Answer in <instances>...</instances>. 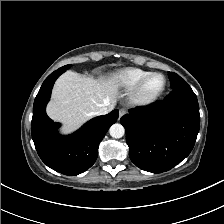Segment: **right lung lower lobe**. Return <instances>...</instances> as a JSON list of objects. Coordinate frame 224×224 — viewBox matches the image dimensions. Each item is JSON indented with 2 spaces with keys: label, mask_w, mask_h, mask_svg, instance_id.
I'll list each match as a JSON object with an SVG mask.
<instances>
[{
  "label": "right lung lower lobe",
  "mask_w": 224,
  "mask_h": 224,
  "mask_svg": "<svg viewBox=\"0 0 224 224\" xmlns=\"http://www.w3.org/2000/svg\"><path fill=\"white\" fill-rule=\"evenodd\" d=\"M59 68L43 82L33 105L32 139L39 157L51 169L65 175H78L89 169L96 161L98 146L109 127L118 119V110L96 117L77 132L61 137L57 134L59 123L46 114L55 80L65 72Z\"/></svg>",
  "instance_id": "1"
}]
</instances>
